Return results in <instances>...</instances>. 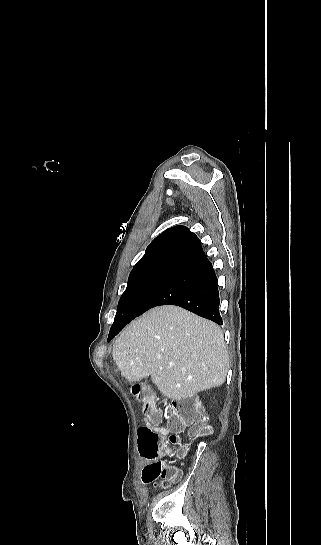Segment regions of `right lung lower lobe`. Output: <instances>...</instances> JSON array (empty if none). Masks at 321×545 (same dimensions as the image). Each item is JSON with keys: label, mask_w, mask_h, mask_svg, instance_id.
Segmentation results:
<instances>
[{"label": "right lung lower lobe", "mask_w": 321, "mask_h": 545, "mask_svg": "<svg viewBox=\"0 0 321 545\" xmlns=\"http://www.w3.org/2000/svg\"><path fill=\"white\" fill-rule=\"evenodd\" d=\"M219 302L217 277L211 262L202 251L175 269L135 316L123 322H114L108 341L135 317L160 305H177L219 325L223 324Z\"/></svg>", "instance_id": "98d812e1"}]
</instances>
